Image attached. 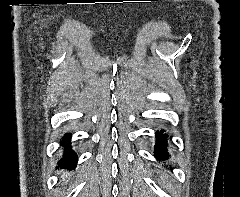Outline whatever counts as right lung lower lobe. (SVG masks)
Segmentation results:
<instances>
[{
    "label": "right lung lower lobe",
    "mask_w": 240,
    "mask_h": 197,
    "mask_svg": "<svg viewBox=\"0 0 240 197\" xmlns=\"http://www.w3.org/2000/svg\"><path fill=\"white\" fill-rule=\"evenodd\" d=\"M71 134L66 133L62 138V146L64 147L63 157L60 159L59 166L62 168H74L78 162L77 155L72 151L70 146Z\"/></svg>",
    "instance_id": "obj_1"
}]
</instances>
